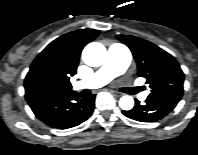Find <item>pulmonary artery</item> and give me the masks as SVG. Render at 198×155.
Wrapping results in <instances>:
<instances>
[{
  "mask_svg": "<svg viewBox=\"0 0 198 155\" xmlns=\"http://www.w3.org/2000/svg\"><path fill=\"white\" fill-rule=\"evenodd\" d=\"M131 61L129 51L120 44L112 45L107 52V58L103 66L92 74L88 79L78 81L74 84V89L99 88L118 75L123 74ZM146 93L139 94L140 100H145Z\"/></svg>",
  "mask_w": 198,
  "mask_h": 155,
  "instance_id": "obj_1",
  "label": "pulmonary artery"
}]
</instances>
